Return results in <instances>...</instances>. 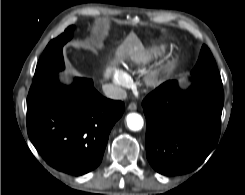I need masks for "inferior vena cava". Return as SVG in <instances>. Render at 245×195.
<instances>
[{
	"label": "inferior vena cava",
	"instance_id": "1",
	"mask_svg": "<svg viewBox=\"0 0 245 195\" xmlns=\"http://www.w3.org/2000/svg\"><path fill=\"white\" fill-rule=\"evenodd\" d=\"M103 92L106 97L114 100H125L127 93L121 87L113 84H105L102 86Z\"/></svg>",
	"mask_w": 245,
	"mask_h": 195
}]
</instances>
